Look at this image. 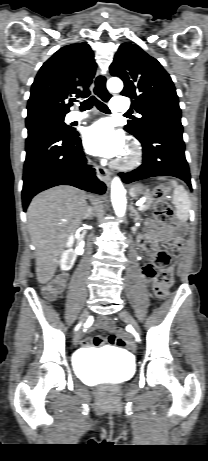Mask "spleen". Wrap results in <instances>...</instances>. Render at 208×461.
I'll use <instances>...</instances> for the list:
<instances>
[{
	"instance_id": "3e777b00",
	"label": "spleen",
	"mask_w": 208,
	"mask_h": 461,
	"mask_svg": "<svg viewBox=\"0 0 208 461\" xmlns=\"http://www.w3.org/2000/svg\"><path fill=\"white\" fill-rule=\"evenodd\" d=\"M165 180V178H159ZM174 186L173 200L172 203L176 207V216L180 221H187L189 218L191 201L188 192L181 185H178L175 180H171ZM133 196V193L131 192Z\"/></svg>"
}]
</instances>
